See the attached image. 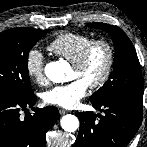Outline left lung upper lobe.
Returning <instances> with one entry per match:
<instances>
[{"mask_svg":"<svg viewBox=\"0 0 147 147\" xmlns=\"http://www.w3.org/2000/svg\"><path fill=\"white\" fill-rule=\"evenodd\" d=\"M91 28L107 31L114 43V69L109 80L96 91L90 101L94 103L128 100L142 106L143 80L135 48L127 35L117 26L106 23L87 24Z\"/></svg>","mask_w":147,"mask_h":147,"instance_id":"obj_1","label":"left lung upper lobe"}]
</instances>
